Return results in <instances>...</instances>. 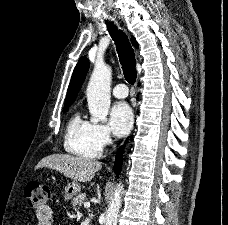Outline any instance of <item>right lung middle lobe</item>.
Here are the masks:
<instances>
[{"label": "right lung middle lobe", "instance_id": "obj_1", "mask_svg": "<svg viewBox=\"0 0 228 225\" xmlns=\"http://www.w3.org/2000/svg\"><path fill=\"white\" fill-rule=\"evenodd\" d=\"M70 105H68V106H64V112H66L67 111V109H68V107H69Z\"/></svg>", "mask_w": 228, "mask_h": 225}]
</instances>
